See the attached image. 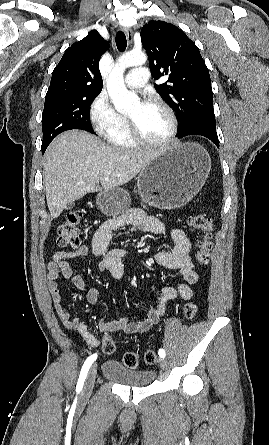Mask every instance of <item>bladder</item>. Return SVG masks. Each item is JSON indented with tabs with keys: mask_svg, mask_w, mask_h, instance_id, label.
Instances as JSON below:
<instances>
[{
	"mask_svg": "<svg viewBox=\"0 0 269 445\" xmlns=\"http://www.w3.org/2000/svg\"><path fill=\"white\" fill-rule=\"evenodd\" d=\"M102 375L111 381L131 388H145L151 385L156 373L151 369H132L117 360H108L102 365Z\"/></svg>",
	"mask_w": 269,
	"mask_h": 445,
	"instance_id": "obj_1",
	"label": "bladder"
}]
</instances>
